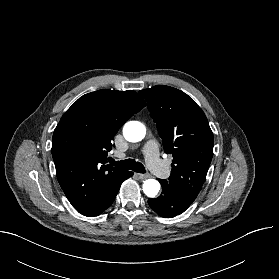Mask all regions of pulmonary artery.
<instances>
[{"mask_svg":"<svg viewBox=\"0 0 279 279\" xmlns=\"http://www.w3.org/2000/svg\"><path fill=\"white\" fill-rule=\"evenodd\" d=\"M148 166L159 176H164L167 172L163 162L159 158L158 144L155 140L148 141L143 147Z\"/></svg>","mask_w":279,"mask_h":279,"instance_id":"1","label":"pulmonary artery"}]
</instances>
